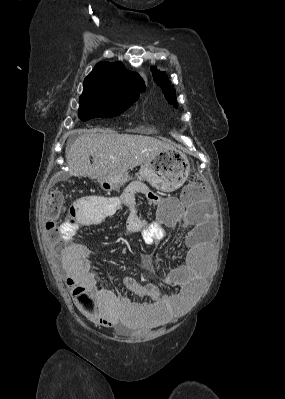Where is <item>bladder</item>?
<instances>
[{"mask_svg":"<svg viewBox=\"0 0 285 399\" xmlns=\"http://www.w3.org/2000/svg\"><path fill=\"white\" fill-rule=\"evenodd\" d=\"M136 328L126 322H120L118 324V332H120L121 334H128L131 331L135 330Z\"/></svg>","mask_w":285,"mask_h":399,"instance_id":"1","label":"bladder"}]
</instances>
